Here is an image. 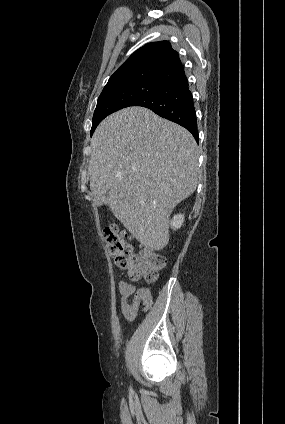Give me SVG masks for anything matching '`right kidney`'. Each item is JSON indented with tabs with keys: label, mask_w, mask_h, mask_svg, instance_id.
<instances>
[{
	"label": "right kidney",
	"mask_w": 285,
	"mask_h": 424,
	"mask_svg": "<svg viewBox=\"0 0 285 424\" xmlns=\"http://www.w3.org/2000/svg\"><path fill=\"white\" fill-rule=\"evenodd\" d=\"M184 222V215L183 214H177L174 215L173 219L170 221V225L173 230L179 229Z\"/></svg>",
	"instance_id": "1"
}]
</instances>
